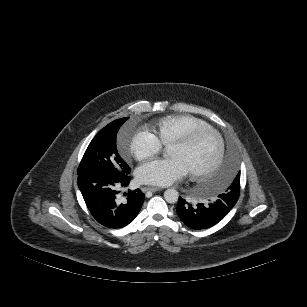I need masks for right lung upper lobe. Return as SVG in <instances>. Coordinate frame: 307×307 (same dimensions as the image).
Masks as SVG:
<instances>
[{"instance_id": "1", "label": "right lung upper lobe", "mask_w": 307, "mask_h": 307, "mask_svg": "<svg viewBox=\"0 0 307 307\" xmlns=\"http://www.w3.org/2000/svg\"><path fill=\"white\" fill-rule=\"evenodd\" d=\"M126 118H128V117L121 118V119H117V120H115V121H113V122H114V123H115V122H119V121H122V120H124V119H126Z\"/></svg>"}]
</instances>
